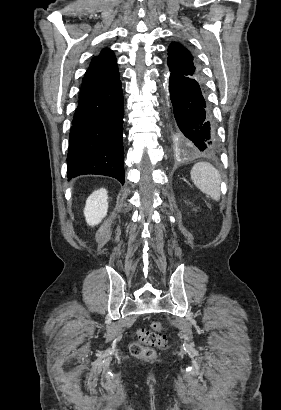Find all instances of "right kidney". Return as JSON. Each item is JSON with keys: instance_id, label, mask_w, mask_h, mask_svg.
I'll list each match as a JSON object with an SVG mask.
<instances>
[{"instance_id": "right-kidney-1", "label": "right kidney", "mask_w": 281, "mask_h": 410, "mask_svg": "<svg viewBox=\"0 0 281 410\" xmlns=\"http://www.w3.org/2000/svg\"><path fill=\"white\" fill-rule=\"evenodd\" d=\"M107 190L101 188L94 191L86 200L84 216L90 226L98 225L107 215L108 211Z\"/></svg>"}]
</instances>
